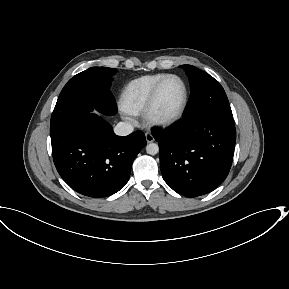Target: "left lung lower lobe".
I'll return each mask as SVG.
<instances>
[{
	"label": "left lung lower lobe",
	"mask_w": 289,
	"mask_h": 289,
	"mask_svg": "<svg viewBox=\"0 0 289 289\" xmlns=\"http://www.w3.org/2000/svg\"><path fill=\"white\" fill-rule=\"evenodd\" d=\"M165 182L186 197L207 194L227 177L236 142L233 116L202 112L152 133Z\"/></svg>",
	"instance_id": "left-lung-lower-lobe-1"
}]
</instances>
